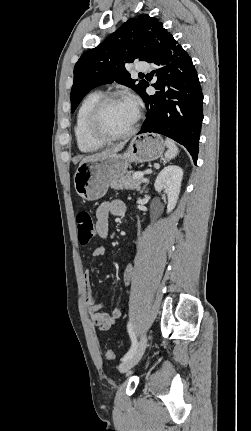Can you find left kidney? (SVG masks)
I'll return each mask as SVG.
<instances>
[{
  "label": "left kidney",
  "mask_w": 251,
  "mask_h": 431,
  "mask_svg": "<svg viewBox=\"0 0 251 431\" xmlns=\"http://www.w3.org/2000/svg\"><path fill=\"white\" fill-rule=\"evenodd\" d=\"M183 170L177 165H168L160 171L155 180V190L168 196L167 213L175 208L181 189Z\"/></svg>",
  "instance_id": "obj_1"
}]
</instances>
